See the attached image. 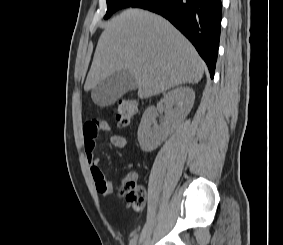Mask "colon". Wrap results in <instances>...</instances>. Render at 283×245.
Returning a JSON list of instances; mask_svg holds the SVG:
<instances>
[{
    "mask_svg": "<svg viewBox=\"0 0 283 245\" xmlns=\"http://www.w3.org/2000/svg\"><path fill=\"white\" fill-rule=\"evenodd\" d=\"M138 108V103L135 99L126 98L119 100L114 105V114L117 124L121 128H126L130 125ZM119 195L124 197L127 203L135 210H141L146 203V192L144 188L134 182V180L125 178L119 185Z\"/></svg>",
    "mask_w": 283,
    "mask_h": 245,
    "instance_id": "colon-1",
    "label": "colon"
}]
</instances>
